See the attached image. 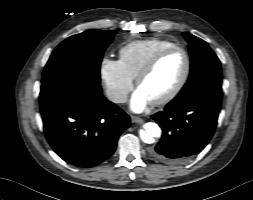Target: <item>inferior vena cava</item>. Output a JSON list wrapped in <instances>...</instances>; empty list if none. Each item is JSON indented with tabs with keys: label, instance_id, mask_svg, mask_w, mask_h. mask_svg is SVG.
<instances>
[{
	"label": "inferior vena cava",
	"instance_id": "inferior-vena-cava-1",
	"mask_svg": "<svg viewBox=\"0 0 253 200\" xmlns=\"http://www.w3.org/2000/svg\"><path fill=\"white\" fill-rule=\"evenodd\" d=\"M108 99L114 103H124L127 101V94L120 91H109Z\"/></svg>",
	"mask_w": 253,
	"mask_h": 200
}]
</instances>
